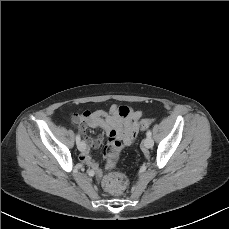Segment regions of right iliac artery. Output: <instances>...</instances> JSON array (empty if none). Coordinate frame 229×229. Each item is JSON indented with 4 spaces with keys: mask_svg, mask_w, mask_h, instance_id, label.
I'll return each mask as SVG.
<instances>
[{
    "mask_svg": "<svg viewBox=\"0 0 229 229\" xmlns=\"http://www.w3.org/2000/svg\"><path fill=\"white\" fill-rule=\"evenodd\" d=\"M80 135L79 134H77V136H76V143L78 144L79 142H80Z\"/></svg>",
    "mask_w": 229,
    "mask_h": 229,
    "instance_id": "obj_1",
    "label": "right iliac artery"
}]
</instances>
